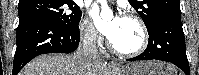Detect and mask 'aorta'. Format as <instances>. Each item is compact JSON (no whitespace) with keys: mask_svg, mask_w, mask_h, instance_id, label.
<instances>
[{"mask_svg":"<svg viewBox=\"0 0 199 75\" xmlns=\"http://www.w3.org/2000/svg\"><path fill=\"white\" fill-rule=\"evenodd\" d=\"M101 4V17L103 20H110L113 17L112 10L108 7L106 0H99Z\"/></svg>","mask_w":199,"mask_h":75,"instance_id":"1","label":"aorta"}]
</instances>
